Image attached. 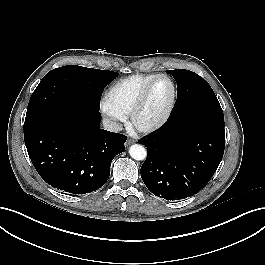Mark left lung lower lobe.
Returning <instances> with one entry per match:
<instances>
[{
	"instance_id": "0a47b994",
	"label": "left lung lower lobe",
	"mask_w": 265,
	"mask_h": 265,
	"mask_svg": "<svg viewBox=\"0 0 265 265\" xmlns=\"http://www.w3.org/2000/svg\"><path fill=\"white\" fill-rule=\"evenodd\" d=\"M140 142L148 149L140 170L144 184L173 201L198 193L209 182L223 157L225 130L207 120L168 121Z\"/></svg>"
}]
</instances>
